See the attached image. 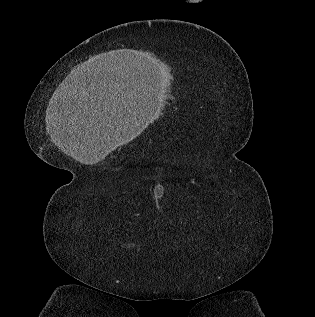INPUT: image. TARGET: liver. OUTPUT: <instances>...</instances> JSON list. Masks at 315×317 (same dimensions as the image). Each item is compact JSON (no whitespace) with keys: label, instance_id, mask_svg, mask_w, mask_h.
<instances>
[{"label":"liver","instance_id":"obj_1","mask_svg":"<svg viewBox=\"0 0 315 317\" xmlns=\"http://www.w3.org/2000/svg\"><path fill=\"white\" fill-rule=\"evenodd\" d=\"M61 145H64V146H61V147L63 148V150H64L65 152H68V153H70L71 155L74 156V151H72L71 147L69 148V147H67L65 144H61Z\"/></svg>","mask_w":315,"mask_h":317}]
</instances>
